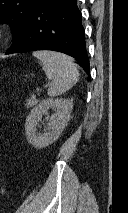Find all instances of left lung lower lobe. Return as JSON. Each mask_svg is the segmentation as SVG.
<instances>
[{
  "label": "left lung lower lobe",
  "instance_id": "1",
  "mask_svg": "<svg viewBox=\"0 0 128 213\" xmlns=\"http://www.w3.org/2000/svg\"><path fill=\"white\" fill-rule=\"evenodd\" d=\"M85 33L77 0H38L6 54L53 50L78 60L90 73Z\"/></svg>",
  "mask_w": 128,
  "mask_h": 213
}]
</instances>
